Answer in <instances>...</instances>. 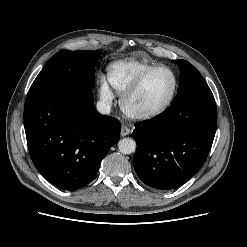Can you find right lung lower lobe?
Masks as SVG:
<instances>
[{
	"label": "right lung lower lobe",
	"instance_id": "98d812e1",
	"mask_svg": "<svg viewBox=\"0 0 247 247\" xmlns=\"http://www.w3.org/2000/svg\"><path fill=\"white\" fill-rule=\"evenodd\" d=\"M24 127L35 167L64 190L88 184L120 137L119 120L101 115L94 107L91 89L82 87L28 93Z\"/></svg>",
	"mask_w": 247,
	"mask_h": 247
}]
</instances>
